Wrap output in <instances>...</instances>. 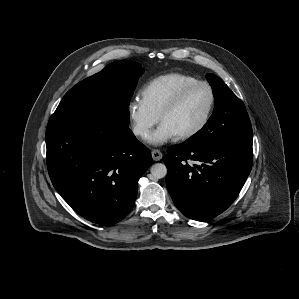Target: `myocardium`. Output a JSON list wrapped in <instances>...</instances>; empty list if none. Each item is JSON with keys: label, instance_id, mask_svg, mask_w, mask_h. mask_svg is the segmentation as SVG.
<instances>
[{"label": "myocardium", "instance_id": "f54148a6", "mask_svg": "<svg viewBox=\"0 0 299 299\" xmlns=\"http://www.w3.org/2000/svg\"><path fill=\"white\" fill-rule=\"evenodd\" d=\"M196 86H204L208 90V92H209V105H208L207 111H206L202 121L196 127H194L193 129H191L188 132H185V133H182V134L178 135V137L180 139H183V140L195 137L196 135L201 133L205 129V127L208 125V123L211 119L214 107H215V102H216L215 92H214V89L211 86V84L208 83L207 81L196 80L194 82H191V83L183 86L172 97V99L164 106V108L161 110V112L159 114V121L161 122L162 119L168 113L173 111L181 103V101L184 99L186 94Z\"/></svg>", "mask_w": 299, "mask_h": 299}]
</instances>
